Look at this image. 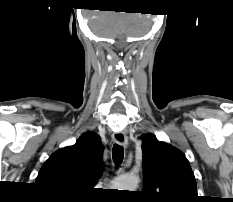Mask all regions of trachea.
<instances>
[{
	"instance_id": "1",
	"label": "trachea",
	"mask_w": 233,
	"mask_h": 202,
	"mask_svg": "<svg viewBox=\"0 0 233 202\" xmlns=\"http://www.w3.org/2000/svg\"><path fill=\"white\" fill-rule=\"evenodd\" d=\"M113 161L116 165H120L124 158V148L118 144H114L112 149Z\"/></svg>"
}]
</instances>
